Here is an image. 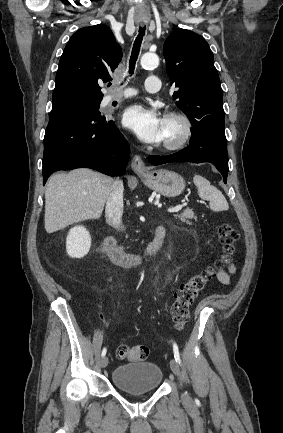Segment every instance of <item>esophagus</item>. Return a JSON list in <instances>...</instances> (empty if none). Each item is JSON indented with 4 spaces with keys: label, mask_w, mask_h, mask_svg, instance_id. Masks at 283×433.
I'll return each instance as SVG.
<instances>
[{
    "label": "esophagus",
    "mask_w": 283,
    "mask_h": 433,
    "mask_svg": "<svg viewBox=\"0 0 283 433\" xmlns=\"http://www.w3.org/2000/svg\"><path fill=\"white\" fill-rule=\"evenodd\" d=\"M131 167L134 170V172L137 173H144L147 172V168L145 163L143 162L142 158H140L139 155H134L131 161Z\"/></svg>",
    "instance_id": "esophagus-1"
}]
</instances>
